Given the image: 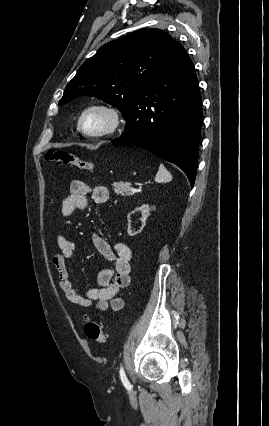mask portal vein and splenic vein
<instances>
[{"label":"portal vein and splenic vein","mask_w":269,"mask_h":426,"mask_svg":"<svg viewBox=\"0 0 269 426\" xmlns=\"http://www.w3.org/2000/svg\"><path fill=\"white\" fill-rule=\"evenodd\" d=\"M137 191H138V190H137L136 188H132V189H131V192H132V193H135V192H137Z\"/></svg>","instance_id":"1"}]
</instances>
